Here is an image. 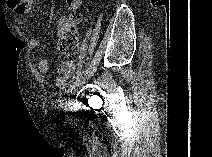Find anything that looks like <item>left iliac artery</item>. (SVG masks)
I'll use <instances>...</instances> for the list:
<instances>
[{
	"mask_svg": "<svg viewBox=\"0 0 212 157\" xmlns=\"http://www.w3.org/2000/svg\"><path fill=\"white\" fill-rule=\"evenodd\" d=\"M81 83V81H75L73 83L70 84V86L66 89V93H70L72 92L79 84Z\"/></svg>",
	"mask_w": 212,
	"mask_h": 157,
	"instance_id": "1",
	"label": "left iliac artery"
}]
</instances>
